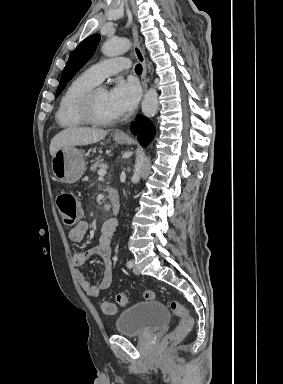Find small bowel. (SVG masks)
<instances>
[{"mask_svg": "<svg viewBox=\"0 0 283 384\" xmlns=\"http://www.w3.org/2000/svg\"><path fill=\"white\" fill-rule=\"evenodd\" d=\"M88 221L81 219L69 232L68 238L75 243L81 242L88 230ZM118 222L114 218L107 219L101 227V235L98 240V244L85 252H77L73 255L72 261L74 266L79 267L85 264V262L91 257H99L103 261L104 273L103 278L97 286L91 285L89 280L85 277L84 273L77 271V280L85 292V294L95 299L99 297L100 293L108 289L113 281V261L111 240L117 229Z\"/></svg>", "mask_w": 283, "mask_h": 384, "instance_id": "1", "label": "small bowel"}]
</instances>
